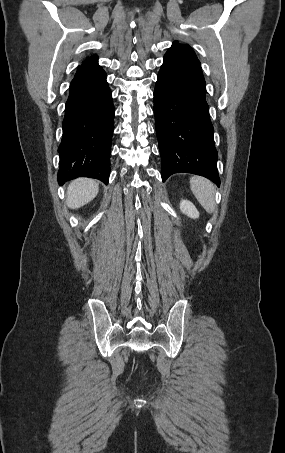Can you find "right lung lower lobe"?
Wrapping results in <instances>:
<instances>
[{
    "label": "right lung lower lobe",
    "mask_w": 285,
    "mask_h": 453,
    "mask_svg": "<svg viewBox=\"0 0 285 453\" xmlns=\"http://www.w3.org/2000/svg\"><path fill=\"white\" fill-rule=\"evenodd\" d=\"M107 75L98 63L82 64L71 81L58 148V182L91 177L107 184L114 106Z\"/></svg>",
    "instance_id": "obj_1"
}]
</instances>
